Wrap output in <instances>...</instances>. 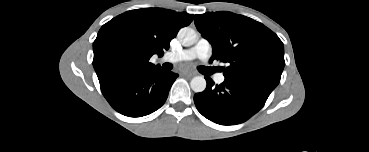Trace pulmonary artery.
I'll use <instances>...</instances> for the list:
<instances>
[{
  "label": "pulmonary artery",
  "instance_id": "pulmonary-artery-1",
  "mask_svg": "<svg viewBox=\"0 0 369 152\" xmlns=\"http://www.w3.org/2000/svg\"><path fill=\"white\" fill-rule=\"evenodd\" d=\"M211 54H212L211 44L207 39L201 38L192 48L168 54L166 55L165 59L170 62H179V61H190L195 58H199L202 61L207 62L210 59ZM224 80L225 77L222 73L216 74L215 81L217 83H223Z\"/></svg>",
  "mask_w": 369,
  "mask_h": 152
}]
</instances>
